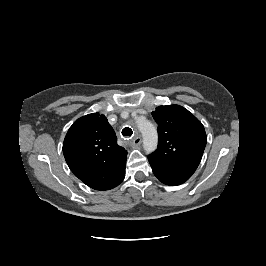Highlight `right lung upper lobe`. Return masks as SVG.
<instances>
[{
  "label": "right lung upper lobe",
  "instance_id": "right-lung-upper-lobe-1",
  "mask_svg": "<svg viewBox=\"0 0 266 266\" xmlns=\"http://www.w3.org/2000/svg\"><path fill=\"white\" fill-rule=\"evenodd\" d=\"M63 154L74 175L95 190L115 188L125 178L127 151L104 115L77 119L65 136Z\"/></svg>",
  "mask_w": 266,
  "mask_h": 266
}]
</instances>
